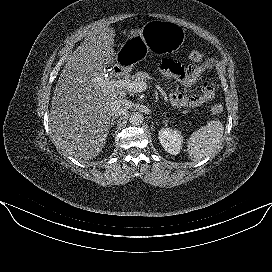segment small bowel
<instances>
[{
  "label": "small bowel",
  "mask_w": 272,
  "mask_h": 272,
  "mask_svg": "<svg viewBox=\"0 0 272 272\" xmlns=\"http://www.w3.org/2000/svg\"><path fill=\"white\" fill-rule=\"evenodd\" d=\"M211 65L210 60L184 68L179 63L165 59L160 64L162 74L169 79H174L183 86V90H176L169 96L170 103L177 108H193L210 102L216 92L215 82H204L200 85V91L193 94L189 89L197 84L203 72Z\"/></svg>",
  "instance_id": "obj_1"
}]
</instances>
